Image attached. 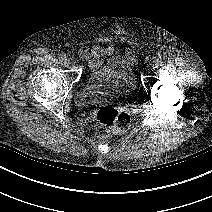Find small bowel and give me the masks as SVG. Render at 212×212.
Here are the masks:
<instances>
[{
  "instance_id": "obj_1",
  "label": "small bowel",
  "mask_w": 212,
  "mask_h": 212,
  "mask_svg": "<svg viewBox=\"0 0 212 212\" xmlns=\"http://www.w3.org/2000/svg\"><path fill=\"white\" fill-rule=\"evenodd\" d=\"M116 53V49L112 45L100 46L93 45L81 49L80 54L88 60L90 67H98L103 57L112 56Z\"/></svg>"
}]
</instances>
